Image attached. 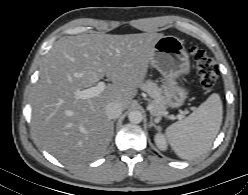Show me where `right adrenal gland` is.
<instances>
[{
	"instance_id": "1",
	"label": "right adrenal gland",
	"mask_w": 248,
	"mask_h": 195,
	"mask_svg": "<svg viewBox=\"0 0 248 195\" xmlns=\"http://www.w3.org/2000/svg\"><path fill=\"white\" fill-rule=\"evenodd\" d=\"M112 132L114 133V121H112Z\"/></svg>"
}]
</instances>
